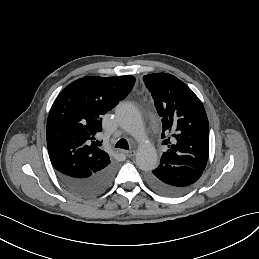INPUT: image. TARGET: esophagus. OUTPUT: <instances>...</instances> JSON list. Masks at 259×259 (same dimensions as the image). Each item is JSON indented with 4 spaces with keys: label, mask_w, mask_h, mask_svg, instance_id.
Returning a JSON list of instances; mask_svg holds the SVG:
<instances>
[{
    "label": "esophagus",
    "mask_w": 259,
    "mask_h": 259,
    "mask_svg": "<svg viewBox=\"0 0 259 259\" xmlns=\"http://www.w3.org/2000/svg\"><path fill=\"white\" fill-rule=\"evenodd\" d=\"M122 153H123L126 157H133V156H135L136 151H135V150H130V151L124 150V151H122Z\"/></svg>",
    "instance_id": "1"
}]
</instances>
